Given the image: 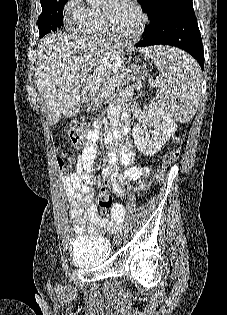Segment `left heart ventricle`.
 Masks as SVG:
<instances>
[{"mask_svg":"<svg viewBox=\"0 0 227 315\" xmlns=\"http://www.w3.org/2000/svg\"><path fill=\"white\" fill-rule=\"evenodd\" d=\"M101 10L107 13L113 29L122 36H131L138 29L140 18L125 0H106Z\"/></svg>","mask_w":227,"mask_h":315,"instance_id":"b2bd125f","label":"left heart ventricle"}]
</instances>
